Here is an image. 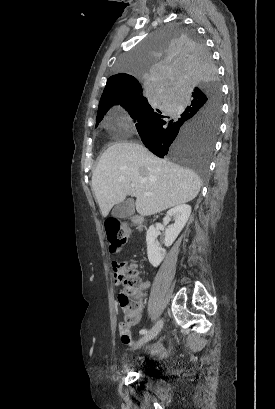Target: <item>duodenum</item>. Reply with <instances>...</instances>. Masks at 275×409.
<instances>
[{"mask_svg": "<svg viewBox=\"0 0 275 409\" xmlns=\"http://www.w3.org/2000/svg\"><path fill=\"white\" fill-rule=\"evenodd\" d=\"M132 221L134 222L138 230H142L143 228V217L142 216L136 215L132 218Z\"/></svg>", "mask_w": 275, "mask_h": 409, "instance_id": "duodenum-1", "label": "duodenum"}]
</instances>
